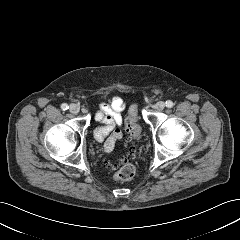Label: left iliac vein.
I'll return each instance as SVG.
<instances>
[{"mask_svg": "<svg viewBox=\"0 0 240 240\" xmlns=\"http://www.w3.org/2000/svg\"><path fill=\"white\" fill-rule=\"evenodd\" d=\"M164 107H165V103L162 102V101H159V102H157V103L155 104V109H156V110H163Z\"/></svg>", "mask_w": 240, "mask_h": 240, "instance_id": "obj_1", "label": "left iliac vein"}]
</instances>
